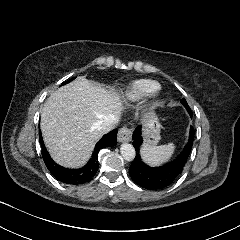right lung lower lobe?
Listing matches in <instances>:
<instances>
[{"mask_svg":"<svg viewBox=\"0 0 240 240\" xmlns=\"http://www.w3.org/2000/svg\"><path fill=\"white\" fill-rule=\"evenodd\" d=\"M117 129L106 134L95 146L91 159L88 163L79 169H68L56 164L50 157L48 151L44 146L41 132L39 130V142L42 147V157L51 174L60 182L65 184L78 185L89 181L96 174L99 163V151L106 147L115 146L117 143Z\"/></svg>","mask_w":240,"mask_h":240,"instance_id":"98d812e1","label":"right lung lower lobe"}]
</instances>
